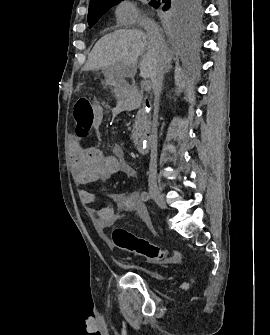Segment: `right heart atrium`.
<instances>
[{
    "label": "right heart atrium",
    "mask_w": 270,
    "mask_h": 335,
    "mask_svg": "<svg viewBox=\"0 0 270 335\" xmlns=\"http://www.w3.org/2000/svg\"><path fill=\"white\" fill-rule=\"evenodd\" d=\"M116 19L121 26L156 25L146 18L131 0H121L116 7Z\"/></svg>",
    "instance_id": "d8ad5b80"
}]
</instances>
